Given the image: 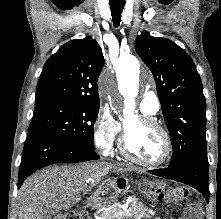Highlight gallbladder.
Here are the masks:
<instances>
[{"mask_svg":"<svg viewBox=\"0 0 221 219\" xmlns=\"http://www.w3.org/2000/svg\"><path fill=\"white\" fill-rule=\"evenodd\" d=\"M43 219H62L60 210H48Z\"/></svg>","mask_w":221,"mask_h":219,"instance_id":"gallbladder-1","label":"gallbladder"}]
</instances>
